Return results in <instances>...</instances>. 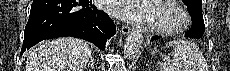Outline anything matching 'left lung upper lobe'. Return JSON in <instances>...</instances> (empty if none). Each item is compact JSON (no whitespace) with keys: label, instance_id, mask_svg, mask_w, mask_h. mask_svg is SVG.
Masks as SVG:
<instances>
[{"label":"left lung upper lobe","instance_id":"5c2ea615","mask_svg":"<svg viewBox=\"0 0 230 71\" xmlns=\"http://www.w3.org/2000/svg\"><path fill=\"white\" fill-rule=\"evenodd\" d=\"M183 2L188 6L189 12H202V0H183Z\"/></svg>","mask_w":230,"mask_h":71}]
</instances>
